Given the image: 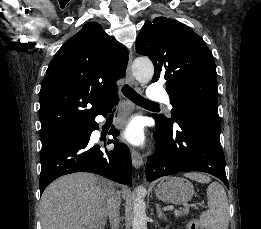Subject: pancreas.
I'll return each instance as SVG.
<instances>
[{
    "label": "pancreas",
    "mask_w": 261,
    "mask_h": 229,
    "mask_svg": "<svg viewBox=\"0 0 261 229\" xmlns=\"http://www.w3.org/2000/svg\"><path fill=\"white\" fill-rule=\"evenodd\" d=\"M189 211H184L182 214L177 213L176 217H184V215H188Z\"/></svg>",
    "instance_id": "cf45deb5"
}]
</instances>
